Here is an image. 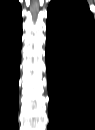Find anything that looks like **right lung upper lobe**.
I'll return each instance as SVG.
<instances>
[{"instance_id": "1", "label": "right lung upper lobe", "mask_w": 95, "mask_h": 130, "mask_svg": "<svg viewBox=\"0 0 95 130\" xmlns=\"http://www.w3.org/2000/svg\"><path fill=\"white\" fill-rule=\"evenodd\" d=\"M22 24V10L18 0H5L0 5V34Z\"/></svg>"}]
</instances>
